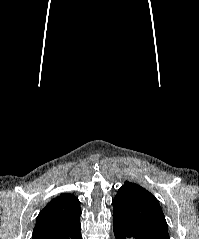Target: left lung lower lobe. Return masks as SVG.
I'll list each match as a JSON object with an SVG mask.
<instances>
[{"mask_svg": "<svg viewBox=\"0 0 199 239\" xmlns=\"http://www.w3.org/2000/svg\"><path fill=\"white\" fill-rule=\"evenodd\" d=\"M113 227L115 229L116 239H154L129 221L115 214H113Z\"/></svg>", "mask_w": 199, "mask_h": 239, "instance_id": "1", "label": "left lung lower lobe"}]
</instances>
